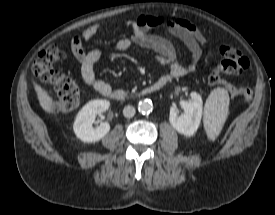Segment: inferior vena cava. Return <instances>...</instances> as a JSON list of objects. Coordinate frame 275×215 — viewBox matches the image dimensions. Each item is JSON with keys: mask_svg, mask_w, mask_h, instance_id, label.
Returning a JSON list of instances; mask_svg holds the SVG:
<instances>
[{"mask_svg": "<svg viewBox=\"0 0 275 215\" xmlns=\"http://www.w3.org/2000/svg\"><path fill=\"white\" fill-rule=\"evenodd\" d=\"M123 115L127 118H131L135 115V108L133 106H125L123 109Z\"/></svg>", "mask_w": 275, "mask_h": 215, "instance_id": "inferior-vena-cava-1", "label": "inferior vena cava"}]
</instances>
